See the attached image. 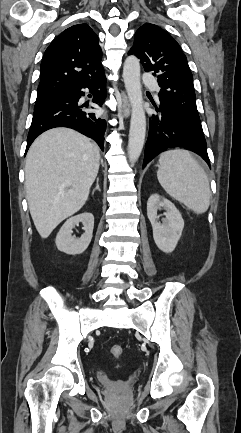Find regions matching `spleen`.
Returning <instances> with one entry per match:
<instances>
[{
    "mask_svg": "<svg viewBox=\"0 0 241 433\" xmlns=\"http://www.w3.org/2000/svg\"><path fill=\"white\" fill-rule=\"evenodd\" d=\"M157 178L163 189L196 214L210 205L208 177L191 153L183 149L165 151L159 159Z\"/></svg>",
    "mask_w": 241,
    "mask_h": 433,
    "instance_id": "3e777b00",
    "label": "spleen"
}]
</instances>
